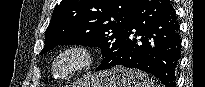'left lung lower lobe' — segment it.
Wrapping results in <instances>:
<instances>
[{"instance_id":"obj_1","label":"left lung lower lobe","mask_w":205,"mask_h":87,"mask_svg":"<svg viewBox=\"0 0 205 87\" xmlns=\"http://www.w3.org/2000/svg\"><path fill=\"white\" fill-rule=\"evenodd\" d=\"M180 50L179 24L171 1L138 0L119 53L96 71L117 65L137 68L166 87H175Z\"/></svg>"}]
</instances>
